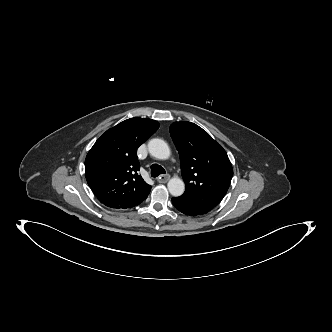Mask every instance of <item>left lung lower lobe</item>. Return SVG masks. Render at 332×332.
Here are the masks:
<instances>
[{"mask_svg":"<svg viewBox=\"0 0 332 332\" xmlns=\"http://www.w3.org/2000/svg\"><path fill=\"white\" fill-rule=\"evenodd\" d=\"M172 203L177 210L189 216L203 215L208 212V210H205L200 206H197L189 201H186L181 197H173Z\"/></svg>","mask_w":332,"mask_h":332,"instance_id":"1","label":"left lung lower lobe"}]
</instances>
